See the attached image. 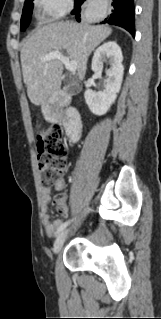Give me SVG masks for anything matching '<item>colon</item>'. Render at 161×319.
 Listing matches in <instances>:
<instances>
[{
	"mask_svg": "<svg viewBox=\"0 0 161 319\" xmlns=\"http://www.w3.org/2000/svg\"><path fill=\"white\" fill-rule=\"evenodd\" d=\"M68 150L62 141L60 129L50 127L38 135V166L41 171V184L44 187L55 185L68 166ZM57 212L66 208V198L59 195L53 201Z\"/></svg>",
	"mask_w": 161,
	"mask_h": 319,
	"instance_id": "1",
	"label": "colon"
}]
</instances>
